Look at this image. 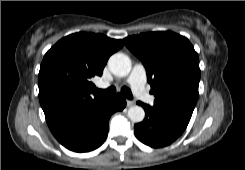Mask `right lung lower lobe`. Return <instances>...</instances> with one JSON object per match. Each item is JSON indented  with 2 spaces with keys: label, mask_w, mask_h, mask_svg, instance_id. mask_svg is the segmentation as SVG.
<instances>
[{
  "label": "right lung lower lobe",
  "mask_w": 245,
  "mask_h": 170,
  "mask_svg": "<svg viewBox=\"0 0 245 170\" xmlns=\"http://www.w3.org/2000/svg\"><path fill=\"white\" fill-rule=\"evenodd\" d=\"M125 106L126 100L121 94L104 98L82 114L56 139L74 152L92 151L105 141L110 116L123 110Z\"/></svg>",
  "instance_id": "obj_1"
}]
</instances>
